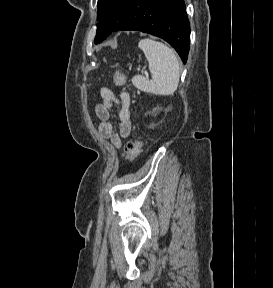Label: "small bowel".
<instances>
[{
	"instance_id": "c3829d8e",
	"label": "small bowel",
	"mask_w": 273,
	"mask_h": 288,
	"mask_svg": "<svg viewBox=\"0 0 273 288\" xmlns=\"http://www.w3.org/2000/svg\"><path fill=\"white\" fill-rule=\"evenodd\" d=\"M100 96L101 102L95 106L96 116L100 120L98 131L103 138L110 140L115 147L120 148L132 129L130 96L125 91H121L116 96L107 87L101 88ZM114 106L119 107V130L117 132L114 131L110 121Z\"/></svg>"
}]
</instances>
